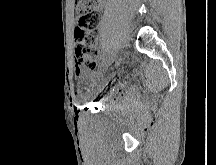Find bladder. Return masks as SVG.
<instances>
[{"label":"bladder","mask_w":216,"mask_h":165,"mask_svg":"<svg viewBox=\"0 0 216 165\" xmlns=\"http://www.w3.org/2000/svg\"><path fill=\"white\" fill-rule=\"evenodd\" d=\"M93 81L91 83V89L88 93V98H93L95 96L104 97L105 94H116V89H102L105 83V78L101 75H92Z\"/></svg>","instance_id":"obj_1"}]
</instances>
